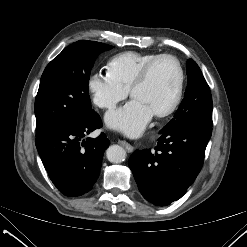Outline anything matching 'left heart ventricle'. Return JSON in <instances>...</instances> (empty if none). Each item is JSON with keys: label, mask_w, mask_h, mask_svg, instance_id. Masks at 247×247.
<instances>
[{"label": "left heart ventricle", "mask_w": 247, "mask_h": 247, "mask_svg": "<svg viewBox=\"0 0 247 247\" xmlns=\"http://www.w3.org/2000/svg\"><path fill=\"white\" fill-rule=\"evenodd\" d=\"M178 80L176 64L161 59L151 69L146 80L135 90L133 98L155 111L164 109L172 100Z\"/></svg>", "instance_id": "1"}]
</instances>
